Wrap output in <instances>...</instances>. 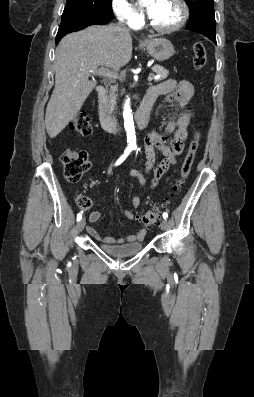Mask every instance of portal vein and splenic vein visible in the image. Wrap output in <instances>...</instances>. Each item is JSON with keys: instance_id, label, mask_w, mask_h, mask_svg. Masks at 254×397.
Masks as SVG:
<instances>
[{"instance_id": "obj_1", "label": "portal vein and splenic vein", "mask_w": 254, "mask_h": 397, "mask_svg": "<svg viewBox=\"0 0 254 397\" xmlns=\"http://www.w3.org/2000/svg\"><path fill=\"white\" fill-rule=\"evenodd\" d=\"M92 73L96 74V75H102V76H106V77H110V78H115L116 75L114 72L109 71L108 69H105L104 67H100L99 69H97L96 71H93ZM160 76H156L155 79H158ZM153 79V77L151 75H149L148 77V81L151 82Z\"/></svg>"}]
</instances>
